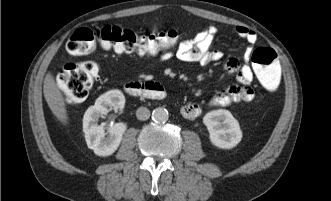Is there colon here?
Here are the masks:
<instances>
[{
	"label": "colon",
	"instance_id": "1",
	"mask_svg": "<svg viewBox=\"0 0 331 201\" xmlns=\"http://www.w3.org/2000/svg\"><path fill=\"white\" fill-rule=\"evenodd\" d=\"M179 37L176 30L139 35L131 29L106 25L96 29H77L66 48L72 55H86L99 44L106 50L120 53L156 55L175 47L180 42ZM251 60L261 85L269 91H276L281 83V66L276 52L271 48H258L252 53ZM97 76L98 67L91 61L68 63L59 73L57 83L65 98L76 103L87 97Z\"/></svg>",
	"mask_w": 331,
	"mask_h": 201
}]
</instances>
